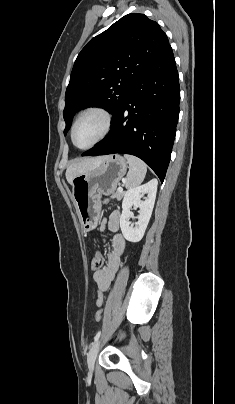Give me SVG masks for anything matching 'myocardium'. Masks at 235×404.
I'll list each match as a JSON object with an SVG mask.
<instances>
[{"mask_svg": "<svg viewBox=\"0 0 235 404\" xmlns=\"http://www.w3.org/2000/svg\"><path fill=\"white\" fill-rule=\"evenodd\" d=\"M89 114H98L103 118V130H102L100 136L95 141H93L91 144L84 146V147H79L75 144V141H74L75 128H76L78 122L84 116L89 115ZM111 127H112V115L106 108L100 107V106L89 107V108L85 109L84 111H82L76 117L75 121L73 122L72 127H71V132H70L71 142L77 149H80V150L90 149L107 137V135L109 134V132L111 130Z\"/></svg>", "mask_w": 235, "mask_h": 404, "instance_id": "f54148a6", "label": "myocardium"}]
</instances>
